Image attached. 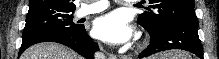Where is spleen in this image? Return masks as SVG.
<instances>
[{"label":"spleen","instance_id":"obj_1","mask_svg":"<svg viewBox=\"0 0 219 59\" xmlns=\"http://www.w3.org/2000/svg\"><path fill=\"white\" fill-rule=\"evenodd\" d=\"M170 55V58H173V59H190V57L186 54H169Z\"/></svg>","mask_w":219,"mask_h":59}]
</instances>
